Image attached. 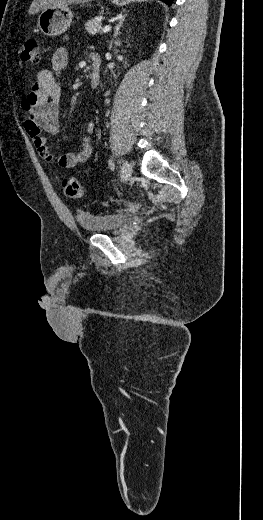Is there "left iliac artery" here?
Here are the masks:
<instances>
[{"instance_id":"44dca946","label":"left iliac artery","mask_w":263,"mask_h":520,"mask_svg":"<svg viewBox=\"0 0 263 520\" xmlns=\"http://www.w3.org/2000/svg\"><path fill=\"white\" fill-rule=\"evenodd\" d=\"M109 167L112 171H114L115 169V164H114V161H113V158H110L109 159Z\"/></svg>"}]
</instances>
